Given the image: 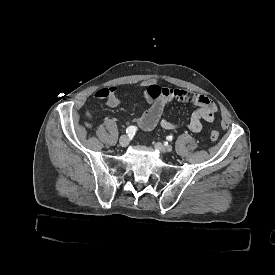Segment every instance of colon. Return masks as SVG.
I'll return each instance as SVG.
<instances>
[{
	"instance_id": "1",
	"label": "colon",
	"mask_w": 275,
	"mask_h": 275,
	"mask_svg": "<svg viewBox=\"0 0 275 275\" xmlns=\"http://www.w3.org/2000/svg\"><path fill=\"white\" fill-rule=\"evenodd\" d=\"M159 91H160V88H159V86L156 85V84H152V85H150L149 88H148V93H149V95L152 96V97L157 96L158 93H159ZM87 115H88L89 119L92 120L93 116H92L91 110H88V111H87ZM210 138H211L212 141H217L218 138H219V133H218V131H217V130H213V131L211 132V134H210Z\"/></svg>"
}]
</instances>
